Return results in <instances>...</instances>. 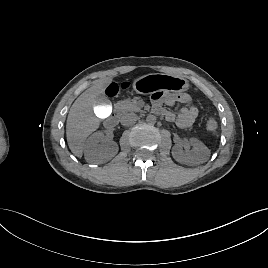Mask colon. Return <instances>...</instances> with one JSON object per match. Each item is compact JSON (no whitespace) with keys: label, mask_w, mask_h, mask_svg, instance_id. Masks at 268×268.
I'll return each instance as SVG.
<instances>
[{"label":"colon","mask_w":268,"mask_h":268,"mask_svg":"<svg viewBox=\"0 0 268 268\" xmlns=\"http://www.w3.org/2000/svg\"><path fill=\"white\" fill-rule=\"evenodd\" d=\"M118 91H119V86L115 83H111L106 89V92L110 97L115 96L118 93Z\"/></svg>","instance_id":"colon-1"}]
</instances>
